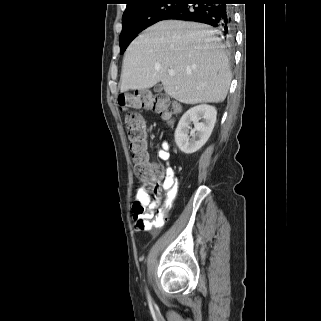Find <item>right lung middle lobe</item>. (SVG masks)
Returning a JSON list of instances; mask_svg holds the SVG:
<instances>
[{
  "mask_svg": "<svg viewBox=\"0 0 321 321\" xmlns=\"http://www.w3.org/2000/svg\"><path fill=\"white\" fill-rule=\"evenodd\" d=\"M182 0H153L133 9L122 17V32L119 37L120 54L132 40L147 27L162 20V17L180 5Z\"/></svg>",
  "mask_w": 321,
  "mask_h": 321,
  "instance_id": "1",
  "label": "right lung middle lobe"
}]
</instances>
